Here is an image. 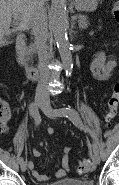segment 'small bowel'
<instances>
[{"mask_svg":"<svg viewBox=\"0 0 119 185\" xmlns=\"http://www.w3.org/2000/svg\"><path fill=\"white\" fill-rule=\"evenodd\" d=\"M116 60L113 58H107L104 51H98L95 53L94 58L90 64V71L94 80H106L110 77L111 72L116 67ZM3 111L7 115L8 122L11 118V111L7 104L3 105ZM49 133H53V129H49ZM71 147L65 146L62 149V168L55 173V177L62 178L69 172V156ZM33 156L35 158L41 157V152L38 149H33ZM29 170L32 176L38 182L47 181L49 178L46 175L41 174L35 167V164L30 161L28 163Z\"/></svg>","mask_w":119,"mask_h":185,"instance_id":"obj_1","label":"small bowel"}]
</instances>
